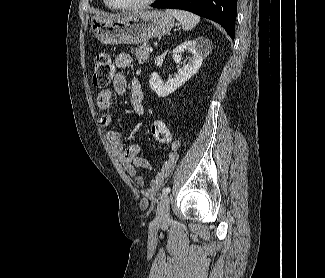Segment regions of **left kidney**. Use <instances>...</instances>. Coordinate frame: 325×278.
Masks as SVG:
<instances>
[{"label":"left kidney","mask_w":325,"mask_h":278,"mask_svg":"<svg viewBox=\"0 0 325 278\" xmlns=\"http://www.w3.org/2000/svg\"><path fill=\"white\" fill-rule=\"evenodd\" d=\"M185 51L192 54L187 65L182 62V54ZM172 55L178 66L183 64V66H179L177 75L164 82L161 77L154 72L151 74L149 80L151 90L159 97L168 96L194 76L203 63V59L206 56V50L204 44L199 40L185 41L173 50Z\"/></svg>","instance_id":"1"}]
</instances>
